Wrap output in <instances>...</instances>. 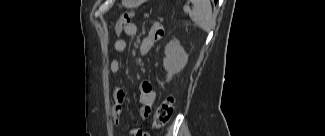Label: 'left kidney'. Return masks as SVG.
Returning a JSON list of instances; mask_svg holds the SVG:
<instances>
[{"instance_id": "obj_1", "label": "left kidney", "mask_w": 325, "mask_h": 136, "mask_svg": "<svg viewBox=\"0 0 325 136\" xmlns=\"http://www.w3.org/2000/svg\"><path fill=\"white\" fill-rule=\"evenodd\" d=\"M187 62L188 54L177 39L167 43L163 59V66L167 72L166 81L169 82L175 74L179 73Z\"/></svg>"}]
</instances>
